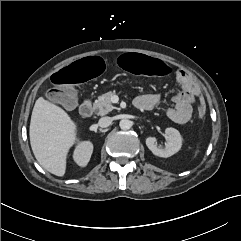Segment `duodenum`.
<instances>
[{
	"label": "duodenum",
	"instance_id": "1",
	"mask_svg": "<svg viewBox=\"0 0 241 241\" xmlns=\"http://www.w3.org/2000/svg\"><path fill=\"white\" fill-rule=\"evenodd\" d=\"M135 107L139 110H143L139 104H135ZM79 113L81 116H83L85 118H88L92 115L93 107H92V103L90 100L87 99L81 103V105L79 107Z\"/></svg>",
	"mask_w": 241,
	"mask_h": 241
}]
</instances>
